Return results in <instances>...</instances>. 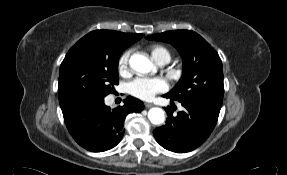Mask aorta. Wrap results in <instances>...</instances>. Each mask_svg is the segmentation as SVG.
<instances>
[{
    "label": "aorta",
    "mask_w": 287,
    "mask_h": 175,
    "mask_svg": "<svg viewBox=\"0 0 287 175\" xmlns=\"http://www.w3.org/2000/svg\"><path fill=\"white\" fill-rule=\"evenodd\" d=\"M129 65L131 69L142 74L154 69L152 62L141 54H133L129 59ZM148 119L153 125H161L165 121V112L159 107H153L148 111Z\"/></svg>",
    "instance_id": "762f6f07"
}]
</instances>
